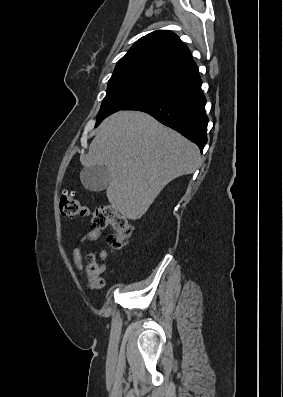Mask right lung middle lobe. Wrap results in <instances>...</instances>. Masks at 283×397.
<instances>
[{
	"mask_svg": "<svg viewBox=\"0 0 283 397\" xmlns=\"http://www.w3.org/2000/svg\"><path fill=\"white\" fill-rule=\"evenodd\" d=\"M167 83L163 79L143 72L113 74L97 115L96 126L109 115L124 109Z\"/></svg>",
	"mask_w": 283,
	"mask_h": 397,
	"instance_id": "dd1d6c3e",
	"label": "right lung middle lobe"
}]
</instances>
